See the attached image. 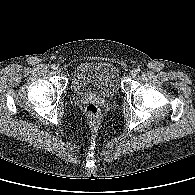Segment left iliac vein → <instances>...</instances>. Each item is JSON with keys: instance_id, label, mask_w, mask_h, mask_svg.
Returning a JSON list of instances; mask_svg holds the SVG:
<instances>
[{"instance_id": "left-iliac-vein-1", "label": "left iliac vein", "mask_w": 195, "mask_h": 195, "mask_svg": "<svg viewBox=\"0 0 195 195\" xmlns=\"http://www.w3.org/2000/svg\"><path fill=\"white\" fill-rule=\"evenodd\" d=\"M129 75H130V77H135L136 73H135V71H131Z\"/></svg>"}]
</instances>
